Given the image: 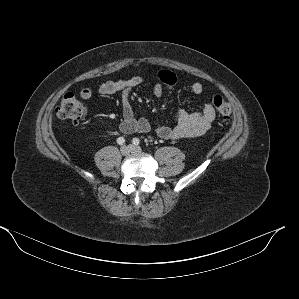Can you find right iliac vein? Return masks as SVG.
<instances>
[{
  "label": "right iliac vein",
  "mask_w": 299,
  "mask_h": 299,
  "mask_svg": "<svg viewBox=\"0 0 299 299\" xmlns=\"http://www.w3.org/2000/svg\"><path fill=\"white\" fill-rule=\"evenodd\" d=\"M131 152L130 150V147L129 146H122L120 148V153L123 155V156H127L129 155V153Z\"/></svg>",
  "instance_id": "obj_1"
}]
</instances>
